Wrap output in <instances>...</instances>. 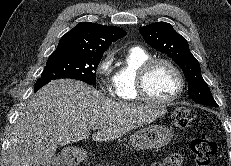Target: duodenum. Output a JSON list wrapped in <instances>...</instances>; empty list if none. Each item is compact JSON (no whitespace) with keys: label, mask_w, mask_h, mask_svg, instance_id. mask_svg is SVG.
<instances>
[{"label":"duodenum","mask_w":231,"mask_h":166,"mask_svg":"<svg viewBox=\"0 0 231 166\" xmlns=\"http://www.w3.org/2000/svg\"><path fill=\"white\" fill-rule=\"evenodd\" d=\"M63 158L67 162H73L77 164H87L89 162V158L84 153H77L75 151L69 150L63 153Z\"/></svg>","instance_id":"410a0bca"}]
</instances>
